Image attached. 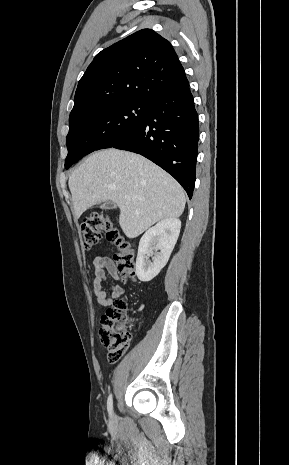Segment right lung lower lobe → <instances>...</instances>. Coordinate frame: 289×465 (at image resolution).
<instances>
[{
	"label": "right lung lower lobe",
	"mask_w": 289,
	"mask_h": 465,
	"mask_svg": "<svg viewBox=\"0 0 289 465\" xmlns=\"http://www.w3.org/2000/svg\"><path fill=\"white\" fill-rule=\"evenodd\" d=\"M199 123L189 86L156 97L147 118L111 147L141 154L171 174L192 198Z\"/></svg>",
	"instance_id": "98d812e1"
}]
</instances>
